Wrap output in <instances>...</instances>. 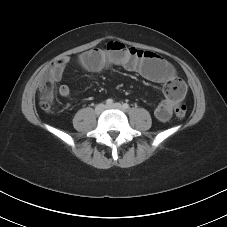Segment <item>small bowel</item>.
Instances as JSON below:
<instances>
[{"label":"small bowel","instance_id":"1","mask_svg":"<svg viewBox=\"0 0 227 227\" xmlns=\"http://www.w3.org/2000/svg\"><path fill=\"white\" fill-rule=\"evenodd\" d=\"M68 62L67 57L61 59L46 76L53 82H59ZM78 62L88 72L97 73L112 66H119L127 71L139 73L152 82L163 84L164 99L154 111L155 117L161 122L168 121L173 108L184 99V83L177 77L174 67L156 53L126 47L113 41L104 48H94L82 53ZM58 93L63 98L71 96L67 85H61Z\"/></svg>","mask_w":227,"mask_h":227}]
</instances>
